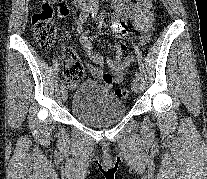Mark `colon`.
<instances>
[{
  "instance_id": "5ec220e1",
  "label": "colon",
  "mask_w": 207,
  "mask_h": 179,
  "mask_svg": "<svg viewBox=\"0 0 207 179\" xmlns=\"http://www.w3.org/2000/svg\"><path fill=\"white\" fill-rule=\"evenodd\" d=\"M53 1L55 0H43L31 18L34 37L42 48H49L55 37V27L52 21L54 16ZM63 75L69 82H78L83 77V66L73 51H65ZM115 93L121 98H126L129 95V90L118 88Z\"/></svg>"
}]
</instances>
